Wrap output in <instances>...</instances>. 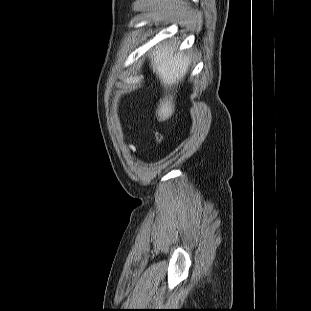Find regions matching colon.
<instances>
[{
    "label": "colon",
    "instance_id": "colon-1",
    "mask_svg": "<svg viewBox=\"0 0 311 311\" xmlns=\"http://www.w3.org/2000/svg\"><path fill=\"white\" fill-rule=\"evenodd\" d=\"M157 138H160V135H157Z\"/></svg>",
    "mask_w": 311,
    "mask_h": 311
}]
</instances>
